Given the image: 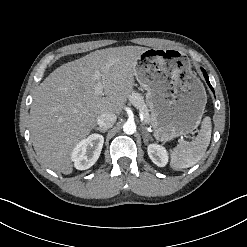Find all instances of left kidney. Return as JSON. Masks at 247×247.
I'll return each mask as SVG.
<instances>
[{
    "label": "left kidney",
    "mask_w": 247,
    "mask_h": 247,
    "mask_svg": "<svg viewBox=\"0 0 247 247\" xmlns=\"http://www.w3.org/2000/svg\"><path fill=\"white\" fill-rule=\"evenodd\" d=\"M148 156L154 164L164 167L168 163V153L166 149L157 144H150L147 147Z\"/></svg>",
    "instance_id": "5707ae66"
}]
</instances>
